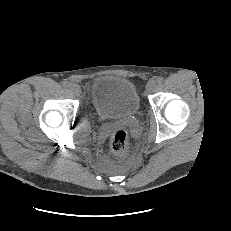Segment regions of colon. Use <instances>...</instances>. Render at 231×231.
<instances>
[{
  "instance_id": "1",
  "label": "colon",
  "mask_w": 231,
  "mask_h": 231,
  "mask_svg": "<svg viewBox=\"0 0 231 231\" xmlns=\"http://www.w3.org/2000/svg\"><path fill=\"white\" fill-rule=\"evenodd\" d=\"M110 148L114 153L123 154L129 148V135L124 127L116 128L110 137Z\"/></svg>"
}]
</instances>
